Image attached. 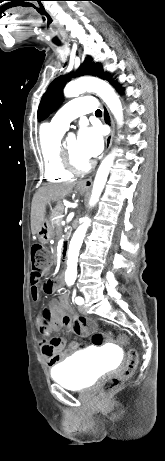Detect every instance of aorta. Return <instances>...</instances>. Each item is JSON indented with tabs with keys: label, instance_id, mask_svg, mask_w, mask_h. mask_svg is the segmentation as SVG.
<instances>
[{
	"label": "aorta",
	"instance_id": "aorta-1",
	"mask_svg": "<svg viewBox=\"0 0 165 461\" xmlns=\"http://www.w3.org/2000/svg\"><path fill=\"white\" fill-rule=\"evenodd\" d=\"M95 92L108 106L119 124L123 120V109L119 97L114 89L105 81L94 77H82L68 83L64 88V96L67 98L77 97L84 92ZM115 153L107 155L101 162L93 184L90 206H94L106 184L110 169L113 165ZM90 219L85 217L83 223L75 231L67 252V269L65 272L66 282H74L77 276V262L79 250L83 243Z\"/></svg>",
	"mask_w": 165,
	"mask_h": 461
}]
</instances>
